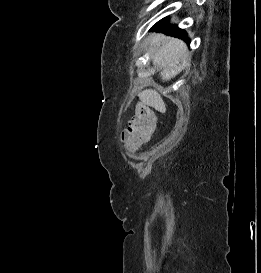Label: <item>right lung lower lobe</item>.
Instances as JSON below:
<instances>
[{
	"label": "right lung lower lobe",
	"instance_id": "98d812e1",
	"mask_svg": "<svg viewBox=\"0 0 261 273\" xmlns=\"http://www.w3.org/2000/svg\"><path fill=\"white\" fill-rule=\"evenodd\" d=\"M153 29L154 30L155 29L156 30H163V31H166V33L168 35H172L174 37H178V38L184 39L186 41L189 40L187 37V34L184 30L179 29L175 25H169L166 18H164V19L160 20L158 23H156L153 26Z\"/></svg>",
	"mask_w": 261,
	"mask_h": 273
}]
</instances>
